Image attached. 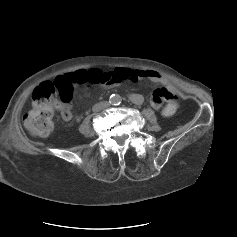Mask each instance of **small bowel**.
Returning a JSON list of instances; mask_svg holds the SVG:
<instances>
[{
	"label": "small bowel",
	"instance_id": "c3829d8e",
	"mask_svg": "<svg viewBox=\"0 0 237 237\" xmlns=\"http://www.w3.org/2000/svg\"><path fill=\"white\" fill-rule=\"evenodd\" d=\"M107 82L102 85L105 87H114L123 81H138L141 79H149L153 83L161 84L163 87L156 89L151 97V105L154 109H160L165 102H176V88L170 81L164 76L149 70L129 69V68H117L108 72ZM132 102L139 104L143 101L142 95L138 93H132L130 95ZM55 107L61 111V114L65 120H70L73 116V111L70 105L57 103Z\"/></svg>",
	"mask_w": 237,
	"mask_h": 237
}]
</instances>
